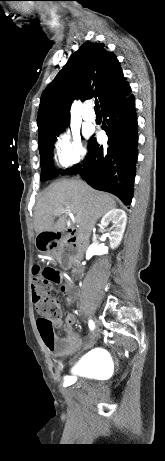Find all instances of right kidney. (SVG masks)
<instances>
[{
	"mask_svg": "<svg viewBox=\"0 0 165 461\" xmlns=\"http://www.w3.org/2000/svg\"><path fill=\"white\" fill-rule=\"evenodd\" d=\"M110 222L113 223L111 228L113 230L111 231L112 237L110 238V247L114 249L122 240L127 222L126 213L121 209H112L108 211L101 220V226L107 227ZM107 252L108 248L103 245H91L87 250V253L91 255H102Z\"/></svg>",
	"mask_w": 165,
	"mask_h": 461,
	"instance_id": "right-kidney-1",
	"label": "right kidney"
}]
</instances>
